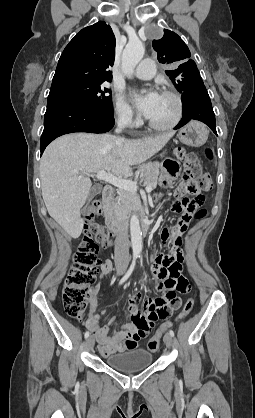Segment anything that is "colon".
I'll list each match as a JSON object with an SVG mask.
<instances>
[{
	"label": "colon",
	"mask_w": 255,
	"mask_h": 418,
	"mask_svg": "<svg viewBox=\"0 0 255 418\" xmlns=\"http://www.w3.org/2000/svg\"><path fill=\"white\" fill-rule=\"evenodd\" d=\"M205 155L212 159L213 153L206 149ZM183 177L186 180L185 191L194 194L190 199L182 198L175 206V213L181 214L182 219L189 223L194 217L202 218L205 211L200 209L203 203L201 191H210L212 180L208 173L203 172L199 165L190 161L186 164ZM103 205L100 199L93 200L87 207L85 218V232L78 249L73 257L71 268L67 274L63 290V305L67 314L73 318H81L86 310L88 299L91 294V286L96 282L101 260L98 254L101 248H107L110 245V233L102 227L96 218L101 215ZM163 233V232H162ZM181 259L182 253H181ZM182 263V262H181ZM194 299L188 298L181 309L176 321L184 319L193 309ZM164 329L152 337L147 343V349L155 352L159 348L161 334L172 325L168 322Z\"/></svg>",
	"instance_id": "1"
}]
</instances>
